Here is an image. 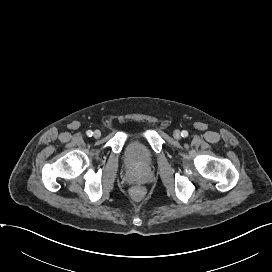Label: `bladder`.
Returning <instances> with one entry per match:
<instances>
[{"label":"bladder","instance_id":"31cf9c89","mask_svg":"<svg viewBox=\"0 0 272 272\" xmlns=\"http://www.w3.org/2000/svg\"><path fill=\"white\" fill-rule=\"evenodd\" d=\"M125 159L129 166L142 168L150 164L152 156L142 144L134 142L127 147Z\"/></svg>","mask_w":272,"mask_h":272}]
</instances>
